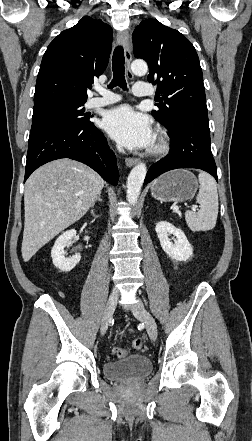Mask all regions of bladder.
<instances>
[{
    "label": "bladder",
    "instance_id": "obj_1",
    "mask_svg": "<svg viewBox=\"0 0 252 441\" xmlns=\"http://www.w3.org/2000/svg\"><path fill=\"white\" fill-rule=\"evenodd\" d=\"M106 378L117 382L142 380L152 371L151 360L143 355H130L117 361H107L103 365Z\"/></svg>",
    "mask_w": 252,
    "mask_h": 441
}]
</instances>
